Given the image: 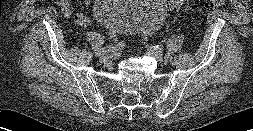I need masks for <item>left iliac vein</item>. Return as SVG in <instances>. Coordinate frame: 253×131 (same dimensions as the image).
I'll use <instances>...</instances> for the list:
<instances>
[{
    "label": "left iliac vein",
    "mask_w": 253,
    "mask_h": 131,
    "mask_svg": "<svg viewBox=\"0 0 253 131\" xmlns=\"http://www.w3.org/2000/svg\"><path fill=\"white\" fill-rule=\"evenodd\" d=\"M147 54L154 57L159 62H161L163 60L171 61V59H172V57L170 55L164 56L160 51L153 49L151 47L147 48Z\"/></svg>",
    "instance_id": "1"
}]
</instances>
